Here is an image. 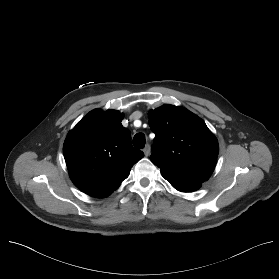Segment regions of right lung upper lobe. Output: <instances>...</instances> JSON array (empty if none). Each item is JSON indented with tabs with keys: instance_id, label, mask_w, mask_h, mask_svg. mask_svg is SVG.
Returning <instances> with one entry per match:
<instances>
[{
	"instance_id": "obj_1",
	"label": "right lung upper lobe",
	"mask_w": 279,
	"mask_h": 279,
	"mask_svg": "<svg viewBox=\"0 0 279 279\" xmlns=\"http://www.w3.org/2000/svg\"><path fill=\"white\" fill-rule=\"evenodd\" d=\"M122 119L119 111L94 109L64 142L63 153L72 182L92 197L113 193L144 156L132 147L130 131L122 126Z\"/></svg>"
}]
</instances>
